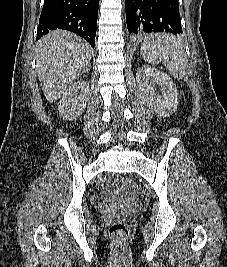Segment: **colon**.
Wrapping results in <instances>:
<instances>
[{
    "mask_svg": "<svg viewBox=\"0 0 227 267\" xmlns=\"http://www.w3.org/2000/svg\"><path fill=\"white\" fill-rule=\"evenodd\" d=\"M110 191L112 196L119 200L131 199L136 191L135 184L128 178H119L112 182ZM109 236L116 249L123 252L129 237L128 224L124 219H116L108 226Z\"/></svg>",
    "mask_w": 227,
    "mask_h": 267,
    "instance_id": "obj_1",
    "label": "colon"
}]
</instances>
